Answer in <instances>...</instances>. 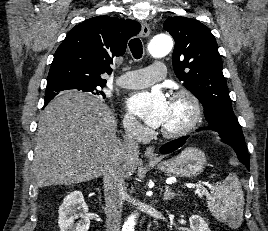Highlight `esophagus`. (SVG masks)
I'll return each mask as SVG.
<instances>
[{"label":"esophagus","mask_w":268,"mask_h":231,"mask_svg":"<svg viewBox=\"0 0 268 231\" xmlns=\"http://www.w3.org/2000/svg\"><path fill=\"white\" fill-rule=\"evenodd\" d=\"M141 26H142V29H141V33L144 37H147L149 34H150V27L149 25L145 22V21H142L141 22ZM145 157L148 159V160H151V161H158V157H157V154L155 152V149L154 147L152 146H148L145 150V153H144Z\"/></svg>","instance_id":"esophagus-1"}]
</instances>
